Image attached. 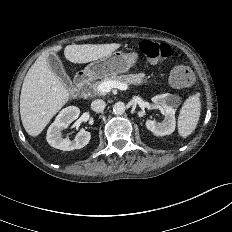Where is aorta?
<instances>
[{"instance_id":"obj_1","label":"aorta","mask_w":232,"mask_h":232,"mask_svg":"<svg viewBox=\"0 0 232 232\" xmlns=\"http://www.w3.org/2000/svg\"><path fill=\"white\" fill-rule=\"evenodd\" d=\"M126 106L123 102H116L113 106V112L117 115H121L125 112Z\"/></svg>"}]
</instances>
